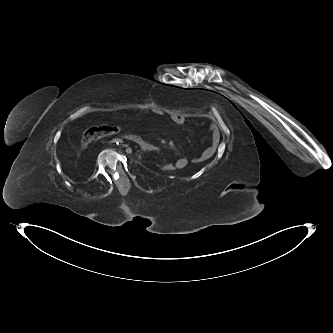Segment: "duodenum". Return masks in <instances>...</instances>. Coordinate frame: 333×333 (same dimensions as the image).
<instances>
[{
    "mask_svg": "<svg viewBox=\"0 0 333 333\" xmlns=\"http://www.w3.org/2000/svg\"><path fill=\"white\" fill-rule=\"evenodd\" d=\"M131 141L139 145L142 151L144 152H157L159 150L158 146L144 141L138 137H132Z\"/></svg>",
    "mask_w": 333,
    "mask_h": 333,
    "instance_id": "1",
    "label": "duodenum"
}]
</instances>
